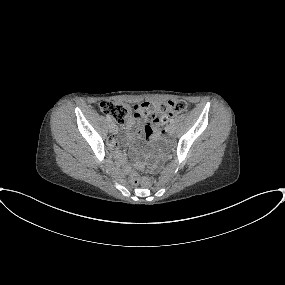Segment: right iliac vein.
<instances>
[{
    "instance_id": "1",
    "label": "right iliac vein",
    "mask_w": 285,
    "mask_h": 285,
    "mask_svg": "<svg viewBox=\"0 0 285 285\" xmlns=\"http://www.w3.org/2000/svg\"><path fill=\"white\" fill-rule=\"evenodd\" d=\"M109 130L112 133H115L117 131V126L115 125V123L113 121H109Z\"/></svg>"
}]
</instances>
